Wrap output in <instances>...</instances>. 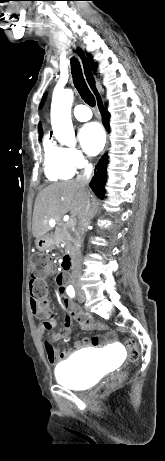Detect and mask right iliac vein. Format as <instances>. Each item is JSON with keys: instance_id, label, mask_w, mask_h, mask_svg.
Instances as JSON below:
<instances>
[{"instance_id": "right-iliac-vein-1", "label": "right iliac vein", "mask_w": 165, "mask_h": 461, "mask_svg": "<svg viewBox=\"0 0 165 461\" xmlns=\"http://www.w3.org/2000/svg\"><path fill=\"white\" fill-rule=\"evenodd\" d=\"M78 296H79V298H80L81 301H84V300H85V295H84V293L80 292Z\"/></svg>"}]
</instances>
